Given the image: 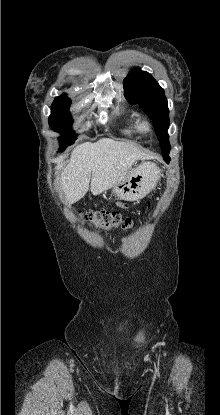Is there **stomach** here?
Masks as SVG:
<instances>
[{
  "label": "stomach",
  "instance_id": "0dacf381",
  "mask_svg": "<svg viewBox=\"0 0 220 415\" xmlns=\"http://www.w3.org/2000/svg\"><path fill=\"white\" fill-rule=\"evenodd\" d=\"M160 179V170L152 162H142L131 170L122 182L112 187L113 194L126 201H136L146 196Z\"/></svg>",
  "mask_w": 220,
  "mask_h": 415
}]
</instances>
